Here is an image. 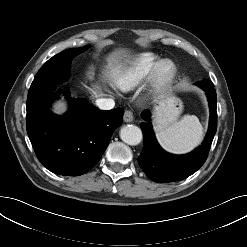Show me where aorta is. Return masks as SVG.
<instances>
[{"mask_svg":"<svg viewBox=\"0 0 247 247\" xmlns=\"http://www.w3.org/2000/svg\"><path fill=\"white\" fill-rule=\"evenodd\" d=\"M120 138L126 144L135 146L142 141V131L135 125H126L120 130Z\"/></svg>","mask_w":247,"mask_h":247,"instance_id":"obj_1","label":"aorta"}]
</instances>
